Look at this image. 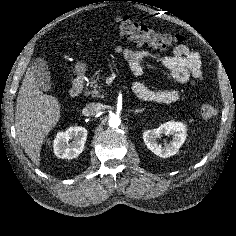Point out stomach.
<instances>
[{"label": "stomach", "instance_id": "obj_1", "mask_svg": "<svg viewBox=\"0 0 236 236\" xmlns=\"http://www.w3.org/2000/svg\"><path fill=\"white\" fill-rule=\"evenodd\" d=\"M85 68H86V66H85L84 63H78L76 65V72L81 74V73H83L85 71Z\"/></svg>", "mask_w": 236, "mask_h": 236}]
</instances>
